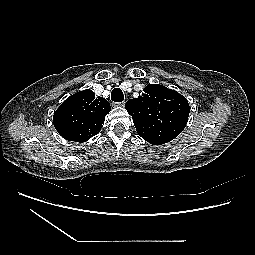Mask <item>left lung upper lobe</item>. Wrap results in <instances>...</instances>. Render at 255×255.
Masks as SVG:
<instances>
[{
  "label": "left lung upper lobe",
  "mask_w": 255,
  "mask_h": 255,
  "mask_svg": "<svg viewBox=\"0 0 255 255\" xmlns=\"http://www.w3.org/2000/svg\"><path fill=\"white\" fill-rule=\"evenodd\" d=\"M125 109L145 141L161 145L173 140L185 128L190 107L178 92L159 84L147 85L138 98L130 99Z\"/></svg>",
  "instance_id": "obj_1"
}]
</instances>
